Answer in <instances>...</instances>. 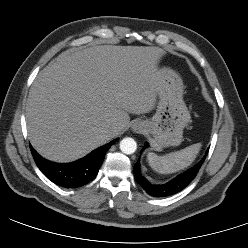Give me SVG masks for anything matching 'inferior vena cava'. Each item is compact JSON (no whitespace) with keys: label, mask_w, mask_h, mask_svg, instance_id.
Listing matches in <instances>:
<instances>
[{"label":"inferior vena cava","mask_w":248,"mask_h":248,"mask_svg":"<svg viewBox=\"0 0 248 248\" xmlns=\"http://www.w3.org/2000/svg\"><path fill=\"white\" fill-rule=\"evenodd\" d=\"M106 132H107V134L110 135V134H112L114 132V130L113 129H108Z\"/></svg>","instance_id":"inferior-vena-cava-1"}]
</instances>
